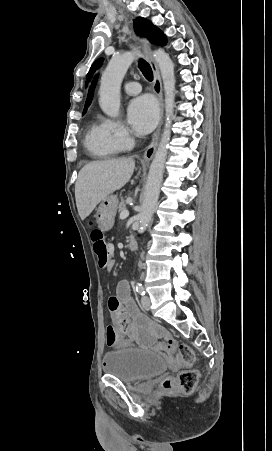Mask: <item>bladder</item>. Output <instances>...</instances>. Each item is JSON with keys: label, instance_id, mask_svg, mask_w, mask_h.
<instances>
[{"label": "bladder", "instance_id": "bladder-1", "mask_svg": "<svg viewBox=\"0 0 272 451\" xmlns=\"http://www.w3.org/2000/svg\"><path fill=\"white\" fill-rule=\"evenodd\" d=\"M168 363L163 355L142 350L118 348L104 355L106 375L117 376L122 383L142 382L165 373Z\"/></svg>", "mask_w": 272, "mask_h": 451}]
</instances>
